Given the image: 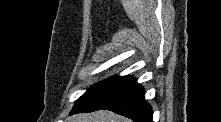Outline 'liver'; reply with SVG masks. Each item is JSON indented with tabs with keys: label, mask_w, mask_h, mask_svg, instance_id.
Listing matches in <instances>:
<instances>
[{
	"label": "liver",
	"mask_w": 221,
	"mask_h": 122,
	"mask_svg": "<svg viewBox=\"0 0 221 122\" xmlns=\"http://www.w3.org/2000/svg\"><path fill=\"white\" fill-rule=\"evenodd\" d=\"M67 120L68 122H131L129 119L107 110L77 114Z\"/></svg>",
	"instance_id": "6515ba94"
}]
</instances>
